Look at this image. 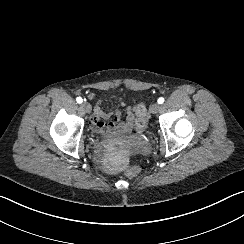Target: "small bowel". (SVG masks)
Listing matches in <instances>:
<instances>
[{
    "mask_svg": "<svg viewBox=\"0 0 244 244\" xmlns=\"http://www.w3.org/2000/svg\"><path fill=\"white\" fill-rule=\"evenodd\" d=\"M117 101L125 106L119 99ZM110 120L109 122H105ZM135 119L134 111L130 107L124 108V113L112 109L103 108L99 102L93 111L92 124L102 133H126L134 128Z\"/></svg>",
    "mask_w": 244,
    "mask_h": 244,
    "instance_id": "small-bowel-1",
    "label": "small bowel"
}]
</instances>
